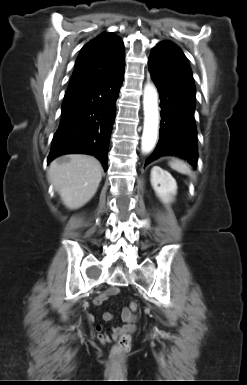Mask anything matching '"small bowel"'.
I'll use <instances>...</instances> for the list:
<instances>
[{"label": "small bowel", "instance_id": "small-bowel-1", "mask_svg": "<svg viewBox=\"0 0 247 385\" xmlns=\"http://www.w3.org/2000/svg\"><path fill=\"white\" fill-rule=\"evenodd\" d=\"M120 293V289L118 287H110L101 295L95 297L93 299V304L95 306H101L104 301H106L111 296L117 295ZM122 320L124 322L121 326L112 327L110 333H106L104 328L101 325L95 326L96 337L102 344H108L110 342L116 341L120 335L123 333H132L136 330L135 319L128 309H124L121 314ZM103 320L110 322L114 319V315L111 312H104L102 314ZM89 322L93 323L95 321V317L90 315L88 318Z\"/></svg>", "mask_w": 247, "mask_h": 385}]
</instances>
